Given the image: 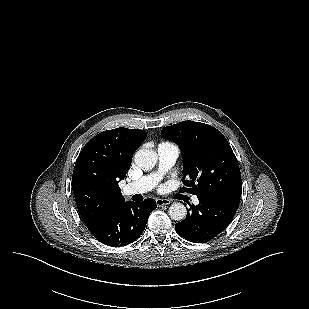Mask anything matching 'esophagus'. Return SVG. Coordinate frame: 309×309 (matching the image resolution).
<instances>
[{
  "label": "esophagus",
  "mask_w": 309,
  "mask_h": 309,
  "mask_svg": "<svg viewBox=\"0 0 309 309\" xmlns=\"http://www.w3.org/2000/svg\"><path fill=\"white\" fill-rule=\"evenodd\" d=\"M171 203V200L169 199H156V204L158 207H162L164 205H169Z\"/></svg>",
  "instance_id": "obj_1"
}]
</instances>
